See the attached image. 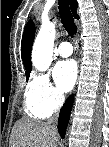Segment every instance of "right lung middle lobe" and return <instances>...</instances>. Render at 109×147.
Instances as JSON below:
<instances>
[{
	"label": "right lung middle lobe",
	"instance_id": "right-lung-middle-lobe-1",
	"mask_svg": "<svg viewBox=\"0 0 109 147\" xmlns=\"http://www.w3.org/2000/svg\"><path fill=\"white\" fill-rule=\"evenodd\" d=\"M28 78H29V73H28V74H26V79L28 80Z\"/></svg>",
	"mask_w": 109,
	"mask_h": 147
}]
</instances>
